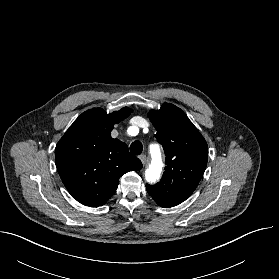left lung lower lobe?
<instances>
[{
  "label": "left lung lower lobe",
  "mask_w": 279,
  "mask_h": 279,
  "mask_svg": "<svg viewBox=\"0 0 279 279\" xmlns=\"http://www.w3.org/2000/svg\"><path fill=\"white\" fill-rule=\"evenodd\" d=\"M161 207H173L172 205H160Z\"/></svg>",
  "instance_id": "1"
}]
</instances>
